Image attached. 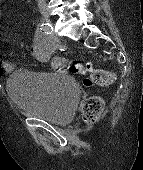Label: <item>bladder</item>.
Wrapping results in <instances>:
<instances>
[{"mask_svg":"<svg viewBox=\"0 0 143 170\" xmlns=\"http://www.w3.org/2000/svg\"><path fill=\"white\" fill-rule=\"evenodd\" d=\"M6 91L21 113L57 124L73 119L80 99L77 82L63 72L18 69Z\"/></svg>","mask_w":143,"mask_h":170,"instance_id":"bladder-1","label":"bladder"}]
</instances>
